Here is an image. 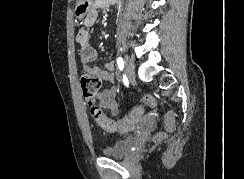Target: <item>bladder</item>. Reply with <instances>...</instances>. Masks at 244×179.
I'll return each mask as SVG.
<instances>
[{"label": "bladder", "instance_id": "31cf9c89", "mask_svg": "<svg viewBox=\"0 0 244 179\" xmlns=\"http://www.w3.org/2000/svg\"><path fill=\"white\" fill-rule=\"evenodd\" d=\"M135 138H124L116 143H114L111 147L104 148L103 154L107 158L117 159L125 157L130 154L134 149Z\"/></svg>", "mask_w": 244, "mask_h": 179}]
</instances>
